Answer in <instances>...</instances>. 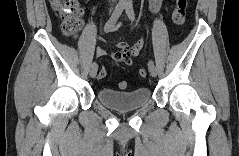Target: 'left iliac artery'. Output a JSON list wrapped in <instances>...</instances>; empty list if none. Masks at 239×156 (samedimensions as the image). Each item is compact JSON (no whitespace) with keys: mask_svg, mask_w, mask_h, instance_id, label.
Returning <instances> with one entry per match:
<instances>
[{"mask_svg":"<svg viewBox=\"0 0 239 156\" xmlns=\"http://www.w3.org/2000/svg\"><path fill=\"white\" fill-rule=\"evenodd\" d=\"M125 10H126V14H127L128 18L131 21H134L135 20V13H134V10H133L132 2H127L125 4ZM152 66H154V62L152 60H150L148 62V67H152Z\"/></svg>","mask_w":239,"mask_h":156,"instance_id":"obj_1","label":"left iliac artery"}]
</instances>
